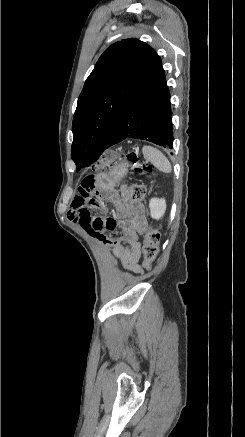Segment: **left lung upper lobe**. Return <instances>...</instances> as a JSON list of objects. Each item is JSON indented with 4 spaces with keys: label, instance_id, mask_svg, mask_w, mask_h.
I'll use <instances>...</instances> for the list:
<instances>
[{
    "label": "left lung upper lobe",
    "instance_id": "left-lung-upper-lobe-1",
    "mask_svg": "<svg viewBox=\"0 0 245 437\" xmlns=\"http://www.w3.org/2000/svg\"><path fill=\"white\" fill-rule=\"evenodd\" d=\"M157 58L153 48L135 38L116 42L100 56L73 118L71 158L77 170L100 157L120 112Z\"/></svg>",
    "mask_w": 245,
    "mask_h": 437
}]
</instances>
